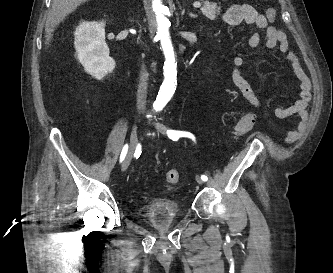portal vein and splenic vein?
<instances>
[{
  "instance_id": "18ae733b",
  "label": "portal vein and splenic vein",
  "mask_w": 333,
  "mask_h": 273,
  "mask_svg": "<svg viewBox=\"0 0 333 273\" xmlns=\"http://www.w3.org/2000/svg\"><path fill=\"white\" fill-rule=\"evenodd\" d=\"M193 5H194V7H196V8L201 7V3H200V2H195Z\"/></svg>"
}]
</instances>
